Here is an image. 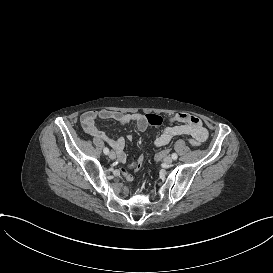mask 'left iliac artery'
<instances>
[{"label":"left iliac artery","instance_id":"44dca946","mask_svg":"<svg viewBox=\"0 0 273 273\" xmlns=\"http://www.w3.org/2000/svg\"><path fill=\"white\" fill-rule=\"evenodd\" d=\"M171 157H172L173 160H176V159L178 158V156H177L176 153H173V154L171 155Z\"/></svg>","mask_w":273,"mask_h":273}]
</instances>
